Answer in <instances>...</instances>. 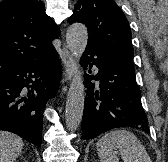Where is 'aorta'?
Returning <instances> with one entry per match:
<instances>
[{
  "label": "aorta",
  "instance_id": "aorta-1",
  "mask_svg": "<svg viewBox=\"0 0 168 162\" xmlns=\"http://www.w3.org/2000/svg\"><path fill=\"white\" fill-rule=\"evenodd\" d=\"M88 41V31L83 24H73L66 33V42L71 53L80 59L86 49ZM85 100V88L83 76L79 66H75L72 82L67 94L65 121L69 130H76L82 120Z\"/></svg>",
  "mask_w": 168,
  "mask_h": 162
}]
</instances>
